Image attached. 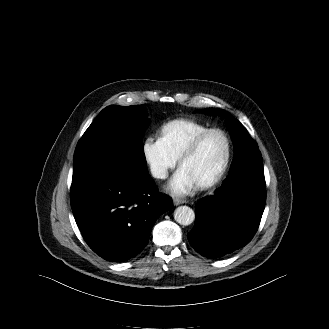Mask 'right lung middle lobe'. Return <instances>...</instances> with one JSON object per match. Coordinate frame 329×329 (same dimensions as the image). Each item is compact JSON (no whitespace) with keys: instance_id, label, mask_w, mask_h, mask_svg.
Wrapping results in <instances>:
<instances>
[{"instance_id":"1","label":"right lung middle lobe","mask_w":329,"mask_h":329,"mask_svg":"<svg viewBox=\"0 0 329 329\" xmlns=\"http://www.w3.org/2000/svg\"><path fill=\"white\" fill-rule=\"evenodd\" d=\"M150 121L139 105L103 109L79 140L72 181L107 171L128 179L147 174L142 138Z\"/></svg>"}]
</instances>
